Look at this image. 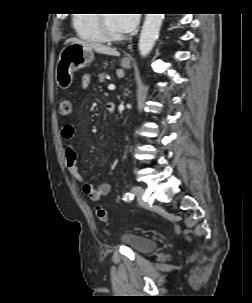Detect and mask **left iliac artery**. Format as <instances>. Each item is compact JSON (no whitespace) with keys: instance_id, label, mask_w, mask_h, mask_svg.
<instances>
[{"instance_id":"1","label":"left iliac artery","mask_w":252,"mask_h":303,"mask_svg":"<svg viewBox=\"0 0 252 303\" xmlns=\"http://www.w3.org/2000/svg\"><path fill=\"white\" fill-rule=\"evenodd\" d=\"M134 197V195L132 193H126L123 197V200L127 201V200H132Z\"/></svg>"}]
</instances>
